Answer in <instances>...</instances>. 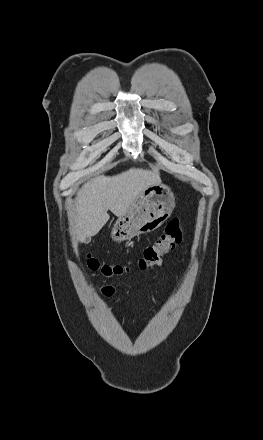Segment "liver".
Wrapping results in <instances>:
<instances>
[{
  "mask_svg": "<svg viewBox=\"0 0 263 440\" xmlns=\"http://www.w3.org/2000/svg\"><path fill=\"white\" fill-rule=\"evenodd\" d=\"M160 182L156 171L133 167L118 175H102L86 183L78 192L73 210L74 245L102 229L110 218L108 210L119 218L124 216L142 191Z\"/></svg>",
  "mask_w": 263,
  "mask_h": 440,
  "instance_id": "obj_1",
  "label": "liver"
}]
</instances>
